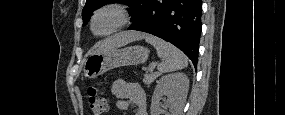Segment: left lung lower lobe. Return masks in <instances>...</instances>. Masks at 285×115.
I'll return each mask as SVG.
<instances>
[{"mask_svg":"<svg viewBox=\"0 0 285 115\" xmlns=\"http://www.w3.org/2000/svg\"><path fill=\"white\" fill-rule=\"evenodd\" d=\"M201 16V0H142L132 13L133 24L129 30L147 32L172 43L196 68Z\"/></svg>","mask_w":285,"mask_h":115,"instance_id":"left-lung-lower-lobe-1","label":"left lung lower lobe"}]
</instances>
